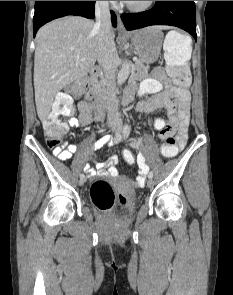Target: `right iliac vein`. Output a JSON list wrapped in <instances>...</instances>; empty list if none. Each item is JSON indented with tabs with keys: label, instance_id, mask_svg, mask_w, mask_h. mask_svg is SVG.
Returning a JSON list of instances; mask_svg holds the SVG:
<instances>
[{
	"label": "right iliac vein",
	"instance_id": "right-iliac-vein-1",
	"mask_svg": "<svg viewBox=\"0 0 233 295\" xmlns=\"http://www.w3.org/2000/svg\"><path fill=\"white\" fill-rule=\"evenodd\" d=\"M113 130H116V129H113ZM85 181H86V178L84 177V178H80V180H79V185L80 186H82L84 183H85Z\"/></svg>",
	"mask_w": 233,
	"mask_h": 295
}]
</instances>
